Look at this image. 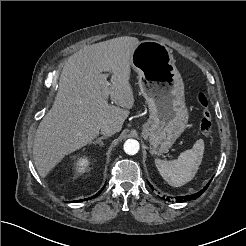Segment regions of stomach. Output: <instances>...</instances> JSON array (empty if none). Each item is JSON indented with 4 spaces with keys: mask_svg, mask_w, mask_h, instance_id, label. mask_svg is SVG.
<instances>
[{
    "mask_svg": "<svg viewBox=\"0 0 246 246\" xmlns=\"http://www.w3.org/2000/svg\"><path fill=\"white\" fill-rule=\"evenodd\" d=\"M131 66L138 74L150 114L142 126V137L149 142L152 154H160L174 144L187 126L184 83L171 49L157 41H141L133 51Z\"/></svg>",
    "mask_w": 246,
    "mask_h": 246,
    "instance_id": "obj_1",
    "label": "stomach"
}]
</instances>
